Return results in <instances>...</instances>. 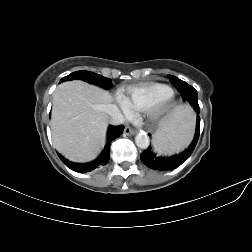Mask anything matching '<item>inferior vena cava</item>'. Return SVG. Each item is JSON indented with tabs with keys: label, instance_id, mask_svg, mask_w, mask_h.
I'll use <instances>...</instances> for the list:
<instances>
[{
	"label": "inferior vena cava",
	"instance_id": "602c4592",
	"mask_svg": "<svg viewBox=\"0 0 252 252\" xmlns=\"http://www.w3.org/2000/svg\"><path fill=\"white\" fill-rule=\"evenodd\" d=\"M105 112L110 116L109 122L112 125L124 123V117L115 105L108 104L105 106Z\"/></svg>",
	"mask_w": 252,
	"mask_h": 252
}]
</instances>
